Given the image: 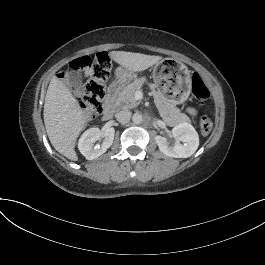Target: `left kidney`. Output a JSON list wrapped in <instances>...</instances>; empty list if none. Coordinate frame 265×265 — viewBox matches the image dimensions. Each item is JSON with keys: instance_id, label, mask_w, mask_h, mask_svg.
<instances>
[{"instance_id": "left-kidney-1", "label": "left kidney", "mask_w": 265, "mask_h": 265, "mask_svg": "<svg viewBox=\"0 0 265 265\" xmlns=\"http://www.w3.org/2000/svg\"><path fill=\"white\" fill-rule=\"evenodd\" d=\"M155 141L163 154L174 158L190 157L199 145L198 133L191 124L186 122L179 123L172 129L170 139L156 136Z\"/></svg>"}]
</instances>
